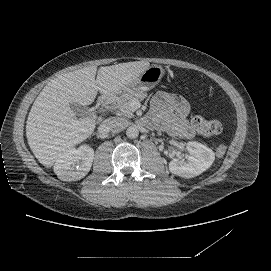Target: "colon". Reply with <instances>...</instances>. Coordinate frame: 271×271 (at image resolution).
<instances>
[{"mask_svg":"<svg viewBox=\"0 0 271 271\" xmlns=\"http://www.w3.org/2000/svg\"><path fill=\"white\" fill-rule=\"evenodd\" d=\"M193 126L197 133L204 137L217 135L223 130V124L220 121L208 119L202 116L194 117ZM226 150V145L220 144L216 147V155L218 157H222L226 153Z\"/></svg>","mask_w":271,"mask_h":271,"instance_id":"1","label":"colon"}]
</instances>
